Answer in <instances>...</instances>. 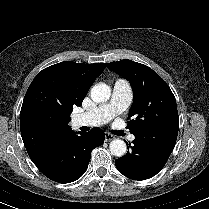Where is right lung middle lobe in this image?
I'll list each match as a JSON object with an SVG mask.
<instances>
[{
  "label": "right lung middle lobe",
  "instance_id": "right-lung-middle-lobe-1",
  "mask_svg": "<svg viewBox=\"0 0 209 209\" xmlns=\"http://www.w3.org/2000/svg\"><path fill=\"white\" fill-rule=\"evenodd\" d=\"M60 90L50 81L40 79L32 89L31 110L47 121H70V113L75 102L66 94H58Z\"/></svg>",
  "mask_w": 209,
  "mask_h": 209
}]
</instances>
